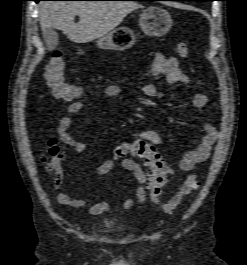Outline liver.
I'll use <instances>...</instances> for the list:
<instances>
[{
  "mask_svg": "<svg viewBox=\"0 0 247 265\" xmlns=\"http://www.w3.org/2000/svg\"><path fill=\"white\" fill-rule=\"evenodd\" d=\"M138 8L141 5L132 1H43L39 21L42 31L53 27L72 42L87 43L104 37Z\"/></svg>",
  "mask_w": 247,
  "mask_h": 265,
  "instance_id": "liver-1",
  "label": "liver"
}]
</instances>
